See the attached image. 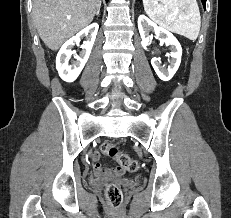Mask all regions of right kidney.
<instances>
[{
	"label": "right kidney",
	"mask_w": 231,
	"mask_h": 218,
	"mask_svg": "<svg viewBox=\"0 0 231 218\" xmlns=\"http://www.w3.org/2000/svg\"><path fill=\"white\" fill-rule=\"evenodd\" d=\"M99 25L97 23H92L91 25L84 28L77 35L70 38L60 49L56 57V68L58 70L59 76L66 82H73L77 79L82 69L84 68L91 49L93 47ZM86 36L87 40L81 46L82 51L79 55H75L72 51L74 45H79L80 38ZM74 55L76 61L69 64V58Z\"/></svg>",
	"instance_id": "ca27d5eb"
}]
</instances>
